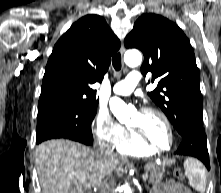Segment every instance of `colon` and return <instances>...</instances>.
I'll return each mask as SVG.
<instances>
[{
  "mask_svg": "<svg viewBox=\"0 0 221 193\" xmlns=\"http://www.w3.org/2000/svg\"><path fill=\"white\" fill-rule=\"evenodd\" d=\"M175 176L177 177V179L181 180L183 178V174L181 172L180 169H176L175 170ZM190 191V190H189ZM191 193V192H190Z\"/></svg>",
  "mask_w": 221,
  "mask_h": 193,
  "instance_id": "obj_1",
  "label": "colon"
}]
</instances>
